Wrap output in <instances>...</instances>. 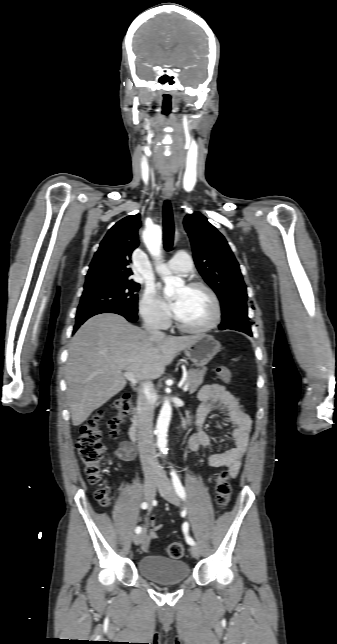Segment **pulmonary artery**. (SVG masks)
Segmentation results:
<instances>
[{
    "instance_id": "1",
    "label": "pulmonary artery",
    "mask_w": 337,
    "mask_h": 644,
    "mask_svg": "<svg viewBox=\"0 0 337 644\" xmlns=\"http://www.w3.org/2000/svg\"><path fill=\"white\" fill-rule=\"evenodd\" d=\"M167 265L173 272L183 273L192 269V260L187 253L178 252L170 259Z\"/></svg>"
}]
</instances>
